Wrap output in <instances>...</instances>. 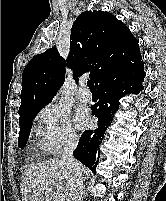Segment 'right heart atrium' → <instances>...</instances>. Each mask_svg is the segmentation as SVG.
Returning a JSON list of instances; mask_svg holds the SVG:
<instances>
[{
  "mask_svg": "<svg viewBox=\"0 0 166 201\" xmlns=\"http://www.w3.org/2000/svg\"><path fill=\"white\" fill-rule=\"evenodd\" d=\"M36 123L39 146L47 154H56L77 143L69 112L60 104L43 107L36 116Z\"/></svg>",
  "mask_w": 166,
  "mask_h": 201,
  "instance_id": "right-heart-atrium-1",
  "label": "right heart atrium"
}]
</instances>
